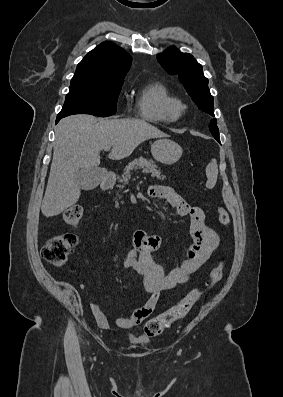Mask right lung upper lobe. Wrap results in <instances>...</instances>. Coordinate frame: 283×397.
Returning a JSON list of instances; mask_svg holds the SVG:
<instances>
[{"label": "right lung upper lobe", "mask_w": 283, "mask_h": 397, "mask_svg": "<svg viewBox=\"0 0 283 397\" xmlns=\"http://www.w3.org/2000/svg\"><path fill=\"white\" fill-rule=\"evenodd\" d=\"M131 56L112 42H102L77 65L74 75L100 79L121 80L130 69Z\"/></svg>", "instance_id": "right-lung-upper-lobe-1"}]
</instances>
